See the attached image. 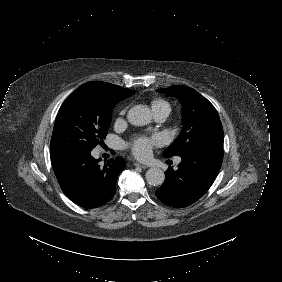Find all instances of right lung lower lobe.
I'll use <instances>...</instances> for the list:
<instances>
[{"instance_id":"1","label":"right lung lower lobe","mask_w":282,"mask_h":282,"mask_svg":"<svg viewBox=\"0 0 282 282\" xmlns=\"http://www.w3.org/2000/svg\"><path fill=\"white\" fill-rule=\"evenodd\" d=\"M91 151H74L51 158L61 189L69 199L84 208H97L108 202L116 192L118 175L126 167L116 157L103 167Z\"/></svg>"}]
</instances>
